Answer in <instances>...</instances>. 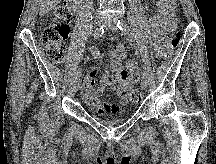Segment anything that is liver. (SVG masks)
Returning <instances> with one entry per match:
<instances>
[{
	"label": "liver",
	"instance_id": "1",
	"mask_svg": "<svg viewBox=\"0 0 216 164\" xmlns=\"http://www.w3.org/2000/svg\"><path fill=\"white\" fill-rule=\"evenodd\" d=\"M61 0H40V13L42 15L48 13L50 10L54 9Z\"/></svg>",
	"mask_w": 216,
	"mask_h": 164
}]
</instances>
